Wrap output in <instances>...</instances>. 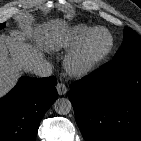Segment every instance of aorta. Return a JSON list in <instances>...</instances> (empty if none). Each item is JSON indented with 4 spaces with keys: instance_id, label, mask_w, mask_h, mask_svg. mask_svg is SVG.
Masks as SVG:
<instances>
[{
    "instance_id": "obj_1",
    "label": "aorta",
    "mask_w": 141,
    "mask_h": 141,
    "mask_svg": "<svg viewBox=\"0 0 141 141\" xmlns=\"http://www.w3.org/2000/svg\"><path fill=\"white\" fill-rule=\"evenodd\" d=\"M55 111L60 115H66L72 110V104L67 98H58L54 103Z\"/></svg>"
}]
</instances>
